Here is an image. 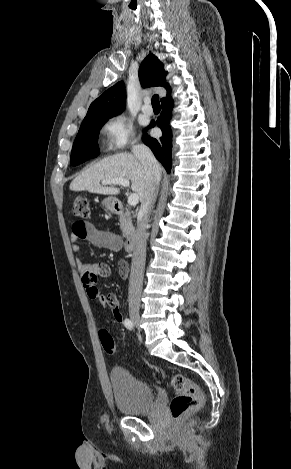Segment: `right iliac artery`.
<instances>
[{
  "instance_id": "82829eb1",
  "label": "right iliac artery",
  "mask_w": 291,
  "mask_h": 469,
  "mask_svg": "<svg viewBox=\"0 0 291 469\" xmlns=\"http://www.w3.org/2000/svg\"><path fill=\"white\" fill-rule=\"evenodd\" d=\"M124 326L129 330H132L134 327L133 322L129 318L124 320Z\"/></svg>"
}]
</instances>
